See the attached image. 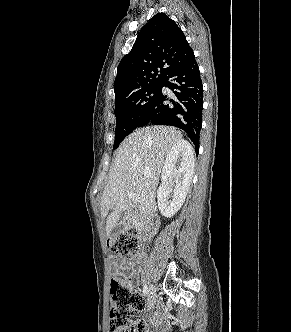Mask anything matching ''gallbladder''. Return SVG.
Here are the masks:
<instances>
[{"mask_svg": "<svg viewBox=\"0 0 291 332\" xmlns=\"http://www.w3.org/2000/svg\"><path fill=\"white\" fill-rule=\"evenodd\" d=\"M129 229H131V226H130V222L128 220V215H124L122 217V219L112 229L110 235L117 236L121 233L128 231Z\"/></svg>", "mask_w": 291, "mask_h": 332, "instance_id": "1", "label": "gallbladder"}]
</instances>
